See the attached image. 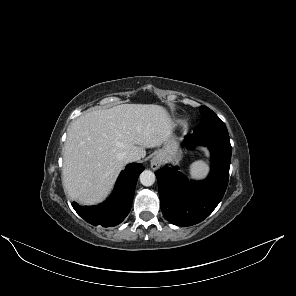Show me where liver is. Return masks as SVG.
<instances>
[{
  "mask_svg": "<svg viewBox=\"0 0 296 296\" xmlns=\"http://www.w3.org/2000/svg\"><path fill=\"white\" fill-rule=\"evenodd\" d=\"M174 123L167 110L155 104H121L90 111L67 132L62 182L72 199L83 205L103 201L126 162L123 154L146 156L171 137Z\"/></svg>",
  "mask_w": 296,
  "mask_h": 296,
  "instance_id": "liver-1",
  "label": "liver"
}]
</instances>
